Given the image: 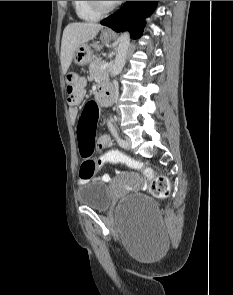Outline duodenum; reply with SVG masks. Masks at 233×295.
I'll use <instances>...</instances> for the list:
<instances>
[{
  "instance_id": "410a0bca",
  "label": "duodenum",
  "mask_w": 233,
  "mask_h": 295,
  "mask_svg": "<svg viewBox=\"0 0 233 295\" xmlns=\"http://www.w3.org/2000/svg\"><path fill=\"white\" fill-rule=\"evenodd\" d=\"M111 88H101L100 92L96 95V102H99L102 99H108L112 97Z\"/></svg>"
}]
</instances>
